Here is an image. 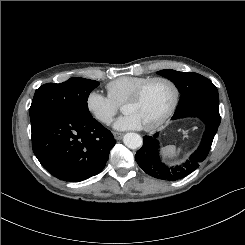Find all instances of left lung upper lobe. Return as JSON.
Segmentation results:
<instances>
[{"label":"left lung upper lobe","instance_id":"obj_1","mask_svg":"<svg viewBox=\"0 0 245 245\" xmlns=\"http://www.w3.org/2000/svg\"><path fill=\"white\" fill-rule=\"evenodd\" d=\"M157 74L171 80L182 94L174 115L197 104L219 105L217 88L206 77L194 72L185 73L171 69L158 71Z\"/></svg>","mask_w":245,"mask_h":245}]
</instances>
